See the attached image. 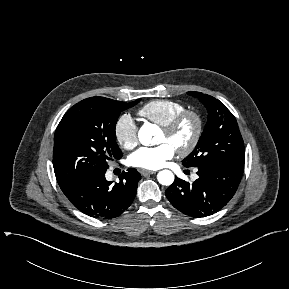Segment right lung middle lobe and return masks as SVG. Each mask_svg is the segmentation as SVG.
Instances as JSON below:
<instances>
[{"mask_svg":"<svg viewBox=\"0 0 289 289\" xmlns=\"http://www.w3.org/2000/svg\"><path fill=\"white\" fill-rule=\"evenodd\" d=\"M139 101L125 103L91 97L65 113L56 128L53 149L54 172L62 190L106 171L110 157H122L116 143V122L121 111Z\"/></svg>","mask_w":289,"mask_h":289,"instance_id":"dd1d6c3e","label":"right lung middle lobe"}]
</instances>
